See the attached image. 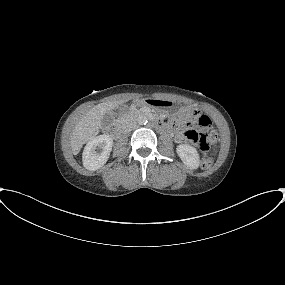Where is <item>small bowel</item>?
<instances>
[{
	"label": "small bowel",
	"mask_w": 285,
	"mask_h": 285,
	"mask_svg": "<svg viewBox=\"0 0 285 285\" xmlns=\"http://www.w3.org/2000/svg\"><path fill=\"white\" fill-rule=\"evenodd\" d=\"M196 113H198V112H196ZM174 137H175V140L178 141V142H181V141H183L185 139L184 138V134H183V132L180 129H176L175 130Z\"/></svg>",
	"instance_id": "small-bowel-1"
}]
</instances>
